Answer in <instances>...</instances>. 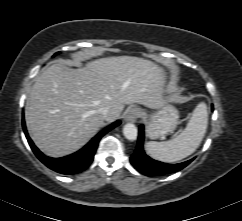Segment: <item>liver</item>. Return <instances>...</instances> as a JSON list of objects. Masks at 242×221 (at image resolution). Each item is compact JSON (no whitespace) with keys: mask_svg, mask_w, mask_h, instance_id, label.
<instances>
[{"mask_svg":"<svg viewBox=\"0 0 242 221\" xmlns=\"http://www.w3.org/2000/svg\"><path fill=\"white\" fill-rule=\"evenodd\" d=\"M165 70L134 56H113L73 69L53 64L36 77L25 107L35 145L46 155L63 157L82 148L104 126L101 107L116 120L125 104L159 109L168 101Z\"/></svg>","mask_w":242,"mask_h":221,"instance_id":"liver-1","label":"liver"}]
</instances>
